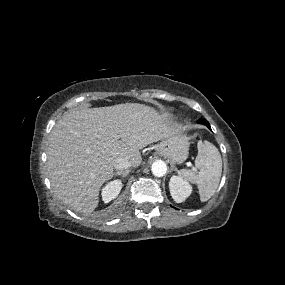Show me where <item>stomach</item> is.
<instances>
[{
	"label": "stomach",
	"mask_w": 285,
	"mask_h": 285,
	"mask_svg": "<svg viewBox=\"0 0 285 285\" xmlns=\"http://www.w3.org/2000/svg\"><path fill=\"white\" fill-rule=\"evenodd\" d=\"M189 138L177 132L163 139L157 146V153L168 158L172 163H183L189 154Z\"/></svg>",
	"instance_id": "0dacf381"
}]
</instances>
